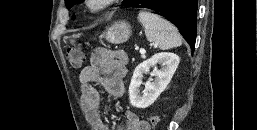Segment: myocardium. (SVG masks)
I'll use <instances>...</instances> for the list:
<instances>
[{"label": "myocardium", "instance_id": "myocardium-1", "mask_svg": "<svg viewBox=\"0 0 257 130\" xmlns=\"http://www.w3.org/2000/svg\"><path fill=\"white\" fill-rule=\"evenodd\" d=\"M117 1L118 0H100L99 3L95 4V0H84V5L91 13H99L106 10Z\"/></svg>", "mask_w": 257, "mask_h": 130}]
</instances>
